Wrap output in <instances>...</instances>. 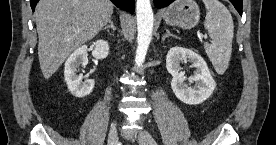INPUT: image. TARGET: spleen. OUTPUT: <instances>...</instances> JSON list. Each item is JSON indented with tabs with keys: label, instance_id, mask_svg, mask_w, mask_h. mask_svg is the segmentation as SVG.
<instances>
[{
	"label": "spleen",
	"instance_id": "3e777b00",
	"mask_svg": "<svg viewBox=\"0 0 276 145\" xmlns=\"http://www.w3.org/2000/svg\"><path fill=\"white\" fill-rule=\"evenodd\" d=\"M207 10L204 27L212 44H205L207 56L215 71L223 74L228 68L234 36V23L229 10L219 0H204Z\"/></svg>",
	"mask_w": 276,
	"mask_h": 145
}]
</instances>
